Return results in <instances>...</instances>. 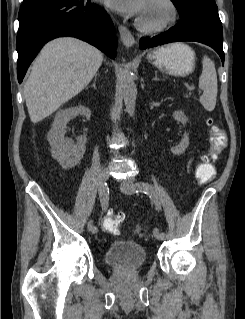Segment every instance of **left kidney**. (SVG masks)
<instances>
[{
  "mask_svg": "<svg viewBox=\"0 0 245 319\" xmlns=\"http://www.w3.org/2000/svg\"><path fill=\"white\" fill-rule=\"evenodd\" d=\"M173 118L179 122H181L182 124H186L188 119L187 117L185 116L184 112L182 111H175L173 113ZM189 145V137L187 134H184L180 143L173 147L171 149V152L174 154V155H181L185 152L186 148L188 147Z\"/></svg>",
  "mask_w": 245,
  "mask_h": 319,
  "instance_id": "5707ae66",
  "label": "left kidney"
}]
</instances>
